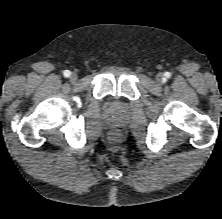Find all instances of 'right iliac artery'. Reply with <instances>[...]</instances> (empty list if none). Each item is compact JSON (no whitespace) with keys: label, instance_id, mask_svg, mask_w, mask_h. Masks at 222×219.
Segmentation results:
<instances>
[{"label":"right iliac artery","instance_id":"obj_1","mask_svg":"<svg viewBox=\"0 0 222 219\" xmlns=\"http://www.w3.org/2000/svg\"><path fill=\"white\" fill-rule=\"evenodd\" d=\"M63 74H64L65 77H69L70 74H71V72H70L69 70H65V71L63 72Z\"/></svg>","mask_w":222,"mask_h":219}]
</instances>
